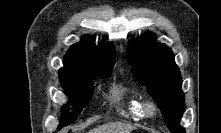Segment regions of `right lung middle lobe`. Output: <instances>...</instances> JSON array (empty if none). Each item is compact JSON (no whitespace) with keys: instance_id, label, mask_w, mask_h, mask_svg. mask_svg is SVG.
I'll return each instance as SVG.
<instances>
[{"instance_id":"right-lung-middle-lobe-1","label":"right lung middle lobe","mask_w":221,"mask_h":133,"mask_svg":"<svg viewBox=\"0 0 221 133\" xmlns=\"http://www.w3.org/2000/svg\"><path fill=\"white\" fill-rule=\"evenodd\" d=\"M112 65L94 66L82 71L60 76V82L65 93L70 96L71 103L74 104L73 112H68L67 107L62 109V120L58 127L69 125L77 119L82 109L88 104L94 91V80L97 76L107 78L111 74Z\"/></svg>"}]
</instances>
